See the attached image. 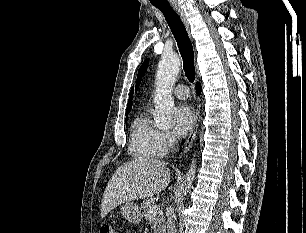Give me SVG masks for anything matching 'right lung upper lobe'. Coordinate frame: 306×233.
<instances>
[{
	"label": "right lung upper lobe",
	"instance_id": "1",
	"mask_svg": "<svg viewBox=\"0 0 306 233\" xmlns=\"http://www.w3.org/2000/svg\"><path fill=\"white\" fill-rule=\"evenodd\" d=\"M132 97H133V88L131 89L130 92V97H129V101H128V105H127V109H126V114H128L131 110V106H132Z\"/></svg>",
	"mask_w": 306,
	"mask_h": 233
}]
</instances>
